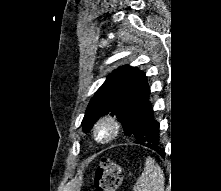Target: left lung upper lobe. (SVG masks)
<instances>
[{"mask_svg":"<svg viewBox=\"0 0 221 191\" xmlns=\"http://www.w3.org/2000/svg\"><path fill=\"white\" fill-rule=\"evenodd\" d=\"M137 72V68L126 65L114 70L107 77L88 104L82 121L84 132H88L102 115L110 113L121 120L126 135L133 134L134 143L146 146L151 144L146 139H142L139 132L134 130L131 95Z\"/></svg>","mask_w":221,"mask_h":191,"instance_id":"left-lung-upper-lobe-1","label":"left lung upper lobe"}]
</instances>
